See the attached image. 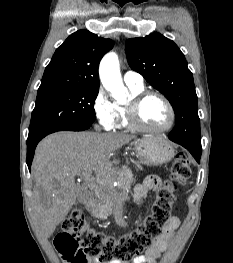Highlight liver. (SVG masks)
Wrapping results in <instances>:
<instances>
[{"label": "liver", "instance_id": "obj_1", "mask_svg": "<svg viewBox=\"0 0 233 263\" xmlns=\"http://www.w3.org/2000/svg\"><path fill=\"white\" fill-rule=\"evenodd\" d=\"M134 138L122 133L57 132L38 144L32 163L36 182L33 200L46 238L76 201L79 189L75 176L94 171L98 180L111 181L112 152Z\"/></svg>", "mask_w": 233, "mask_h": 263}]
</instances>
